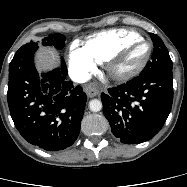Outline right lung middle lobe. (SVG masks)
I'll return each mask as SVG.
<instances>
[{"label":"right lung middle lobe","instance_id":"obj_1","mask_svg":"<svg viewBox=\"0 0 187 187\" xmlns=\"http://www.w3.org/2000/svg\"><path fill=\"white\" fill-rule=\"evenodd\" d=\"M65 36L59 33L51 34L48 37L42 39L44 46H52L58 50H61L65 45ZM35 43V42H31ZM37 45V43H35Z\"/></svg>","mask_w":187,"mask_h":187}]
</instances>
